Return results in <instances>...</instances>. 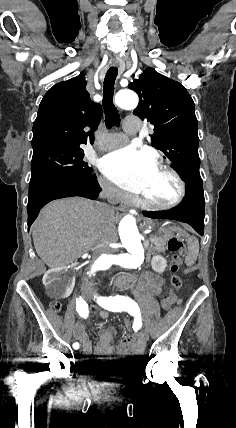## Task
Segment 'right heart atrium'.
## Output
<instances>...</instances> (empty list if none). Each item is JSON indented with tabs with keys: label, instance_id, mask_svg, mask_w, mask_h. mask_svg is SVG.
Segmentation results:
<instances>
[{
	"label": "right heart atrium",
	"instance_id": "obj_1",
	"mask_svg": "<svg viewBox=\"0 0 236 428\" xmlns=\"http://www.w3.org/2000/svg\"><path fill=\"white\" fill-rule=\"evenodd\" d=\"M97 185L103 198L113 201H123L127 198L121 190L103 177L97 178Z\"/></svg>",
	"mask_w": 236,
	"mask_h": 428
}]
</instances>
